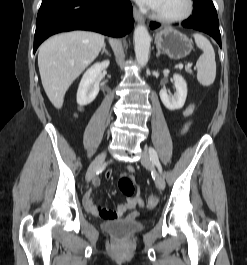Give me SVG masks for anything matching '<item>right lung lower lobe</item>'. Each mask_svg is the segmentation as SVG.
Listing matches in <instances>:
<instances>
[{
	"mask_svg": "<svg viewBox=\"0 0 247 265\" xmlns=\"http://www.w3.org/2000/svg\"><path fill=\"white\" fill-rule=\"evenodd\" d=\"M133 24L128 0H43L36 21L34 53L46 38L59 32L91 30L121 37Z\"/></svg>",
	"mask_w": 247,
	"mask_h": 265,
	"instance_id": "right-lung-lower-lobe-1",
	"label": "right lung lower lobe"
}]
</instances>
